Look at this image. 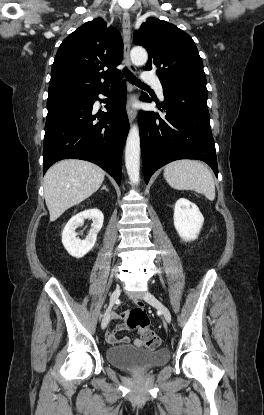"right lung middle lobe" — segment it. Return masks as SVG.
<instances>
[{
	"mask_svg": "<svg viewBox=\"0 0 264 415\" xmlns=\"http://www.w3.org/2000/svg\"><path fill=\"white\" fill-rule=\"evenodd\" d=\"M78 98H82V97H69V98H63V99H57V100H48V103H53V102H58V101H63V100H69V99H78Z\"/></svg>",
	"mask_w": 264,
	"mask_h": 415,
	"instance_id": "1",
	"label": "right lung middle lobe"
}]
</instances>
